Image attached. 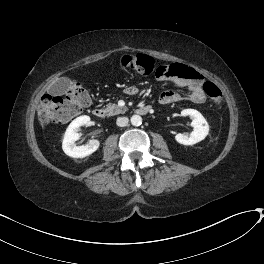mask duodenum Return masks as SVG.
Returning <instances> with one entry per match:
<instances>
[{"label": "duodenum", "mask_w": 264, "mask_h": 264, "mask_svg": "<svg viewBox=\"0 0 264 264\" xmlns=\"http://www.w3.org/2000/svg\"><path fill=\"white\" fill-rule=\"evenodd\" d=\"M151 110V107L148 105H142L136 109V114L145 115ZM93 114L96 118H104L106 115V111L101 107H96L93 109Z\"/></svg>", "instance_id": "410a0bca"}]
</instances>
